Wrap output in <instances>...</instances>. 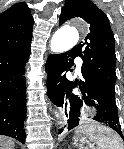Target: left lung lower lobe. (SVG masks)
I'll return each instance as SVG.
<instances>
[{
	"mask_svg": "<svg viewBox=\"0 0 124 149\" xmlns=\"http://www.w3.org/2000/svg\"><path fill=\"white\" fill-rule=\"evenodd\" d=\"M77 55L72 51L62 54L50 55L47 59L45 70L47 72V90L49 99L58 107L65 109L68 120V130L76 127L79 123L83 104L96 109L94 120L111 128L124 140L117 106L115 93L102 84L91 80L81 68V79L72 83L67 79L68 71L72 72L73 60ZM79 85L81 96L73 94L75 86ZM62 129L59 130V133Z\"/></svg>",
	"mask_w": 124,
	"mask_h": 149,
	"instance_id": "0a47b994",
	"label": "left lung lower lobe"
}]
</instances>
